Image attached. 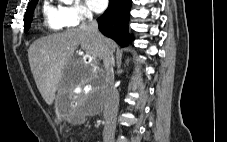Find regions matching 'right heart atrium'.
<instances>
[{"mask_svg":"<svg viewBox=\"0 0 227 142\" xmlns=\"http://www.w3.org/2000/svg\"><path fill=\"white\" fill-rule=\"evenodd\" d=\"M65 24L69 27H78L93 20L92 12L80 2L60 6Z\"/></svg>","mask_w":227,"mask_h":142,"instance_id":"obj_1","label":"right heart atrium"}]
</instances>
